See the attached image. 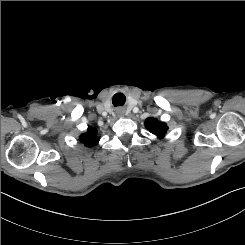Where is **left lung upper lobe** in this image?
Wrapping results in <instances>:
<instances>
[{
    "instance_id": "left-lung-upper-lobe-1",
    "label": "left lung upper lobe",
    "mask_w": 245,
    "mask_h": 245,
    "mask_svg": "<svg viewBox=\"0 0 245 245\" xmlns=\"http://www.w3.org/2000/svg\"><path fill=\"white\" fill-rule=\"evenodd\" d=\"M145 127L154 135H156L159 138L164 137L166 134V131L168 130V127L165 123L158 121L155 118H147L145 121Z\"/></svg>"
}]
</instances>
